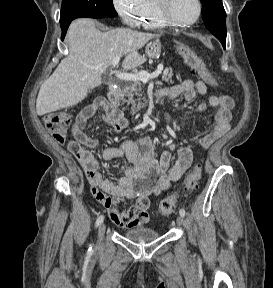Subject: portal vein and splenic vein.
<instances>
[{
    "label": "portal vein and splenic vein",
    "mask_w": 273,
    "mask_h": 288,
    "mask_svg": "<svg viewBox=\"0 0 273 288\" xmlns=\"http://www.w3.org/2000/svg\"><path fill=\"white\" fill-rule=\"evenodd\" d=\"M120 61V57H115L112 60V66L115 67L118 65ZM163 70V65L160 64L157 66V69L153 73H148L146 71H140L138 73H115L116 77L123 81H142L143 83H147L150 79H154L159 76L161 71Z\"/></svg>",
    "instance_id": "1"
}]
</instances>
